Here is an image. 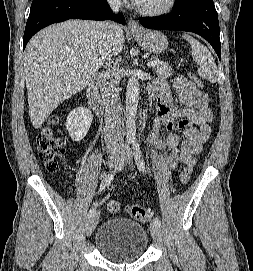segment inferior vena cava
<instances>
[{"mask_svg": "<svg viewBox=\"0 0 253 271\" xmlns=\"http://www.w3.org/2000/svg\"><path fill=\"white\" fill-rule=\"evenodd\" d=\"M111 9L117 13L121 7V0H107ZM101 34L105 40L113 36L115 24L110 21L98 24ZM103 64L106 70L102 75V97L104 100V137L107 151L109 153L120 152L122 149L121 135V100L117 82L116 64L111 60V56L105 55ZM113 64V66H112Z\"/></svg>", "mask_w": 253, "mask_h": 271, "instance_id": "obj_1", "label": "inferior vena cava"}]
</instances>
